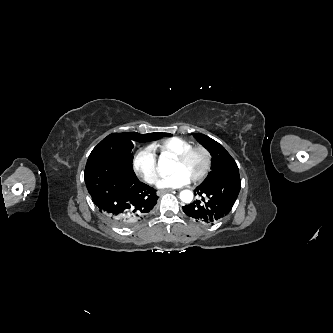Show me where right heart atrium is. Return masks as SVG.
Here are the masks:
<instances>
[{
    "instance_id": "d8ad5b80",
    "label": "right heart atrium",
    "mask_w": 333,
    "mask_h": 333,
    "mask_svg": "<svg viewBox=\"0 0 333 333\" xmlns=\"http://www.w3.org/2000/svg\"><path fill=\"white\" fill-rule=\"evenodd\" d=\"M135 173L148 184L158 181L156 155L151 147L139 149L133 158Z\"/></svg>"
}]
</instances>
